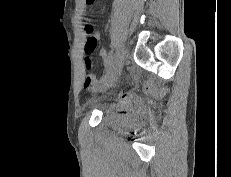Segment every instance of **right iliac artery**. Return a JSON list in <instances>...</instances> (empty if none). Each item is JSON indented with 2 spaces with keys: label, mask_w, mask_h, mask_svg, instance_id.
Wrapping results in <instances>:
<instances>
[{
  "label": "right iliac artery",
  "mask_w": 231,
  "mask_h": 177,
  "mask_svg": "<svg viewBox=\"0 0 231 177\" xmlns=\"http://www.w3.org/2000/svg\"><path fill=\"white\" fill-rule=\"evenodd\" d=\"M113 59H114V53H113V51H110L109 56H108V60L106 61V64H105V70L106 71L109 70L110 67L112 66Z\"/></svg>",
  "instance_id": "obj_1"
}]
</instances>
